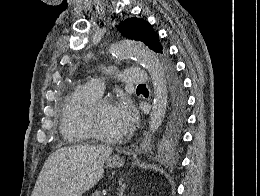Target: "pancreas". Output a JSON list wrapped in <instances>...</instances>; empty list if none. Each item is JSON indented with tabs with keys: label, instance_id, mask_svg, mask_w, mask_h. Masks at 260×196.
I'll use <instances>...</instances> for the list:
<instances>
[{
	"label": "pancreas",
	"instance_id": "1",
	"mask_svg": "<svg viewBox=\"0 0 260 196\" xmlns=\"http://www.w3.org/2000/svg\"><path fill=\"white\" fill-rule=\"evenodd\" d=\"M94 196H100V192H96V194H94Z\"/></svg>",
	"mask_w": 260,
	"mask_h": 196
}]
</instances>
